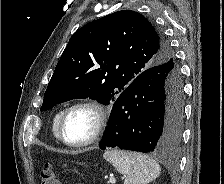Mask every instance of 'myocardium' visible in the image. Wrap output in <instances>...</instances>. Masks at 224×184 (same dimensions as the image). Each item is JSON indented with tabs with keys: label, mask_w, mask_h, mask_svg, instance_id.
<instances>
[{
	"label": "myocardium",
	"mask_w": 224,
	"mask_h": 184,
	"mask_svg": "<svg viewBox=\"0 0 224 184\" xmlns=\"http://www.w3.org/2000/svg\"><path fill=\"white\" fill-rule=\"evenodd\" d=\"M78 108L91 109L96 114L97 120H96V124H95L92 135L85 141L75 143V142H70L65 138L63 128H64L65 120L68 117V115L73 110ZM108 121H109V111L105 105L92 99L78 100L63 110L58 122V128H57L58 138L65 145L75 149L91 146L97 141H99L101 137L104 135L108 125Z\"/></svg>",
	"instance_id": "myocardium-1"
}]
</instances>
